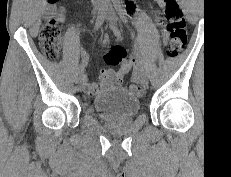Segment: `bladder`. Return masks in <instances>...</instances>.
<instances>
[{"label":"bladder","instance_id":"obj_1","mask_svg":"<svg viewBox=\"0 0 231 177\" xmlns=\"http://www.w3.org/2000/svg\"><path fill=\"white\" fill-rule=\"evenodd\" d=\"M95 112L107 120H122L136 115L140 109L139 99L120 87L101 90L93 99Z\"/></svg>","mask_w":231,"mask_h":177}]
</instances>
